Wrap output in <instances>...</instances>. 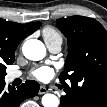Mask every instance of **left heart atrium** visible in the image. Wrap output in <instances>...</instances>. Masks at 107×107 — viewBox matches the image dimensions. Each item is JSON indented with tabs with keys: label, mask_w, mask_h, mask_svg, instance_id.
Instances as JSON below:
<instances>
[{
	"label": "left heart atrium",
	"mask_w": 107,
	"mask_h": 107,
	"mask_svg": "<svg viewBox=\"0 0 107 107\" xmlns=\"http://www.w3.org/2000/svg\"><path fill=\"white\" fill-rule=\"evenodd\" d=\"M53 75V70L48 66L37 67L32 71V76L40 81H47Z\"/></svg>",
	"instance_id": "39dd6f15"
}]
</instances>
